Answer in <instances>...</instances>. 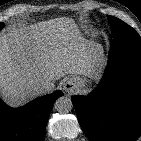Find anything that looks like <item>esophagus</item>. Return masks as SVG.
<instances>
[{"mask_svg":"<svg viewBox=\"0 0 141 141\" xmlns=\"http://www.w3.org/2000/svg\"><path fill=\"white\" fill-rule=\"evenodd\" d=\"M77 83L78 82L76 80H73V79L68 80L64 85L65 91L68 93L73 92L75 87L77 86Z\"/></svg>","mask_w":141,"mask_h":141,"instance_id":"obj_1","label":"esophagus"}]
</instances>
